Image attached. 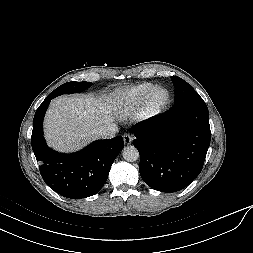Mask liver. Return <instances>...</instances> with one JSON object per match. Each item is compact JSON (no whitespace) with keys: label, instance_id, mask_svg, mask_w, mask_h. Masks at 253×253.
<instances>
[{"label":"liver","instance_id":"liver-1","mask_svg":"<svg viewBox=\"0 0 253 253\" xmlns=\"http://www.w3.org/2000/svg\"><path fill=\"white\" fill-rule=\"evenodd\" d=\"M112 106L107 99L65 95L54 99L44 120L49 146L61 152L78 150L97 136L94 130L113 122Z\"/></svg>","mask_w":253,"mask_h":253}]
</instances>
